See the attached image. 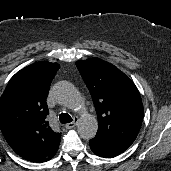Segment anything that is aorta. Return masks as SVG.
<instances>
[{
	"label": "aorta",
	"instance_id": "762f6f07",
	"mask_svg": "<svg viewBox=\"0 0 171 171\" xmlns=\"http://www.w3.org/2000/svg\"><path fill=\"white\" fill-rule=\"evenodd\" d=\"M55 96L60 104L77 113H81L85 108L84 101L79 92L68 82H60L56 86ZM77 130L84 139L94 138L98 130L97 119L92 115H81L78 120Z\"/></svg>",
	"mask_w": 171,
	"mask_h": 171
}]
</instances>
